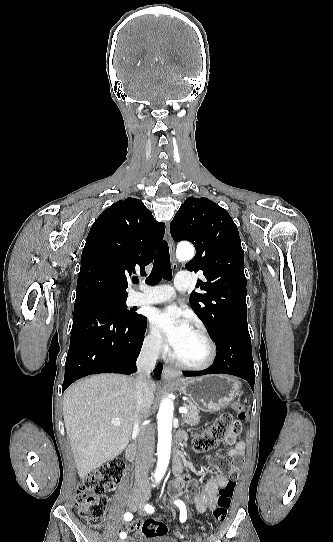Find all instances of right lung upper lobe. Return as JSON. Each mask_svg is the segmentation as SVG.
Instances as JSON below:
<instances>
[{
    "instance_id": "cb5924a9",
    "label": "right lung upper lobe",
    "mask_w": 333,
    "mask_h": 542,
    "mask_svg": "<svg viewBox=\"0 0 333 542\" xmlns=\"http://www.w3.org/2000/svg\"><path fill=\"white\" fill-rule=\"evenodd\" d=\"M164 232L165 224L156 221L141 200H120L103 211L83 248L76 300L97 292L127 296V279L135 270L145 275ZM97 249L108 253L105 261L90 259Z\"/></svg>"
}]
</instances>
